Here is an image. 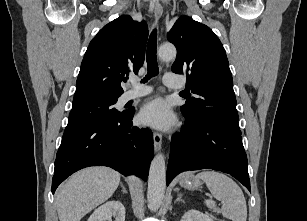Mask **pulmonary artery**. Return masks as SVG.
<instances>
[{
	"label": "pulmonary artery",
	"mask_w": 307,
	"mask_h": 221,
	"mask_svg": "<svg viewBox=\"0 0 307 221\" xmlns=\"http://www.w3.org/2000/svg\"><path fill=\"white\" fill-rule=\"evenodd\" d=\"M163 82L167 87L170 88H180L182 86V83L179 80V78L173 73H166L164 75ZM129 83L130 85L135 87V89L128 90L123 94L122 96L123 102H128L130 100L146 96L151 92L150 87L141 85L135 80H130Z\"/></svg>",
	"instance_id": "obj_1"
}]
</instances>
